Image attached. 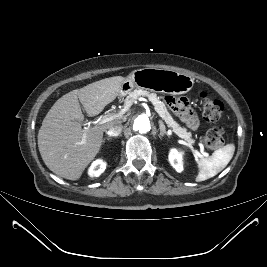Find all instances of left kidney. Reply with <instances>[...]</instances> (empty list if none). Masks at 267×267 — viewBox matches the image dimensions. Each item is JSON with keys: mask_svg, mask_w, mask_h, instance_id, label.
Listing matches in <instances>:
<instances>
[{"mask_svg": "<svg viewBox=\"0 0 267 267\" xmlns=\"http://www.w3.org/2000/svg\"><path fill=\"white\" fill-rule=\"evenodd\" d=\"M169 162L175 168L177 172L183 171V158L182 154L179 153L176 149H171L169 152Z\"/></svg>", "mask_w": 267, "mask_h": 267, "instance_id": "1", "label": "left kidney"}]
</instances>
